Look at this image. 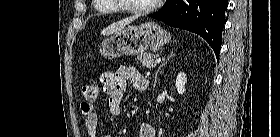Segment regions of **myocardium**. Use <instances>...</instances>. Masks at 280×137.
Here are the masks:
<instances>
[{
	"label": "myocardium",
	"instance_id": "myocardium-1",
	"mask_svg": "<svg viewBox=\"0 0 280 137\" xmlns=\"http://www.w3.org/2000/svg\"><path fill=\"white\" fill-rule=\"evenodd\" d=\"M160 0H155V2L145 8H133V7H128V6H120V8L127 12V13H131V14H149L151 12H153L155 9H157V7L160 5ZM161 27V26H159Z\"/></svg>",
	"mask_w": 280,
	"mask_h": 137
}]
</instances>
